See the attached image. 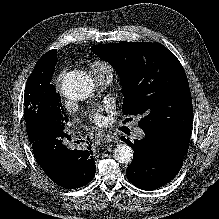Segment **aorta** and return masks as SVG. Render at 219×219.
<instances>
[{
    "label": "aorta",
    "mask_w": 219,
    "mask_h": 219,
    "mask_svg": "<svg viewBox=\"0 0 219 219\" xmlns=\"http://www.w3.org/2000/svg\"><path fill=\"white\" fill-rule=\"evenodd\" d=\"M94 84L84 72H74L67 75L62 83L64 95L74 101H82L93 93ZM114 158L117 162L128 164L133 159V150L126 144H119L114 149Z\"/></svg>",
    "instance_id": "762f6f07"
}]
</instances>
